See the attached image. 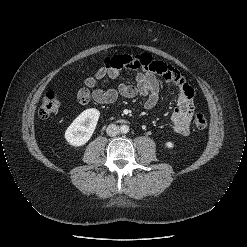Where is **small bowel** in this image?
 Masks as SVG:
<instances>
[{"label": "small bowel", "instance_id": "1", "mask_svg": "<svg viewBox=\"0 0 247 247\" xmlns=\"http://www.w3.org/2000/svg\"><path fill=\"white\" fill-rule=\"evenodd\" d=\"M123 69L139 70L135 75L134 84L120 83L116 88L108 90L96 88L99 81L104 78H119ZM158 77L176 86V107L171 115L172 128L177 134L187 136L194 112V90L178 70L162 61L154 60L148 53L114 55L106 58L104 66L99 68L94 76L84 79L85 88L78 92L77 99L82 105L87 104L90 99L99 104H112L120 96L133 98L141 95L146 97L144 107L152 109L159 101Z\"/></svg>", "mask_w": 247, "mask_h": 247}]
</instances>
